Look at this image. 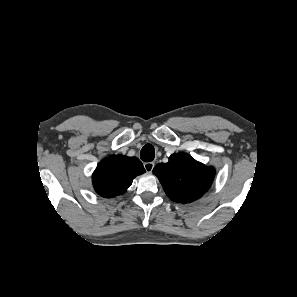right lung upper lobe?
Wrapping results in <instances>:
<instances>
[{
    "instance_id": "cb5924a9",
    "label": "right lung upper lobe",
    "mask_w": 297,
    "mask_h": 297,
    "mask_svg": "<svg viewBox=\"0 0 297 297\" xmlns=\"http://www.w3.org/2000/svg\"><path fill=\"white\" fill-rule=\"evenodd\" d=\"M144 172L145 169L137 158L113 155L98 164L92 176L93 185L99 195L111 198L123 194L133 179Z\"/></svg>"
}]
</instances>
